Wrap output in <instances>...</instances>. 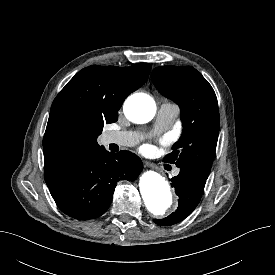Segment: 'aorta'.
Segmentation results:
<instances>
[{"label":"aorta","instance_id":"obj_1","mask_svg":"<svg viewBox=\"0 0 275 275\" xmlns=\"http://www.w3.org/2000/svg\"><path fill=\"white\" fill-rule=\"evenodd\" d=\"M154 99L144 93L130 96L124 104L126 117L134 123H147L155 115ZM139 188L146 208L155 216H162L173 203L174 196L168 182L159 173L149 170L142 174Z\"/></svg>","mask_w":275,"mask_h":275}]
</instances>
